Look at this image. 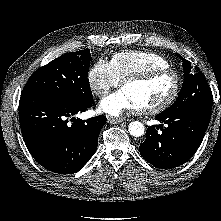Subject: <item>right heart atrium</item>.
<instances>
[{
	"mask_svg": "<svg viewBox=\"0 0 221 221\" xmlns=\"http://www.w3.org/2000/svg\"><path fill=\"white\" fill-rule=\"evenodd\" d=\"M87 81L92 93L100 98L120 84L110 63L105 60H99L90 67Z\"/></svg>",
	"mask_w": 221,
	"mask_h": 221,
	"instance_id": "d8ad5b80",
	"label": "right heart atrium"
}]
</instances>
